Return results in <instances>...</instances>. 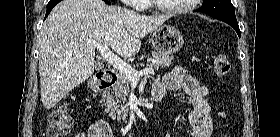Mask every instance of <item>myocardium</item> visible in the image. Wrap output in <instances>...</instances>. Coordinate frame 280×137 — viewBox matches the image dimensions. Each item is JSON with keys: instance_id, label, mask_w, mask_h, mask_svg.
Returning <instances> with one entry per match:
<instances>
[{"instance_id": "1", "label": "myocardium", "mask_w": 280, "mask_h": 137, "mask_svg": "<svg viewBox=\"0 0 280 137\" xmlns=\"http://www.w3.org/2000/svg\"><path fill=\"white\" fill-rule=\"evenodd\" d=\"M188 3L184 6L177 7V8H166L158 3V0H150L152 5L157 9L158 11L168 13V14H183L186 12H189L193 9L194 5L198 0H187Z\"/></svg>"}]
</instances>
